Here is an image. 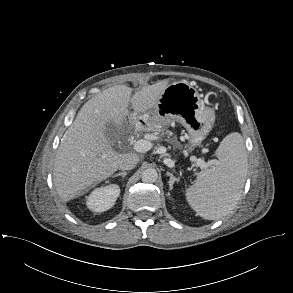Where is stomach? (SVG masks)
Wrapping results in <instances>:
<instances>
[{
	"label": "stomach",
	"mask_w": 293,
	"mask_h": 293,
	"mask_svg": "<svg viewBox=\"0 0 293 293\" xmlns=\"http://www.w3.org/2000/svg\"><path fill=\"white\" fill-rule=\"evenodd\" d=\"M157 128L173 122L181 123L189 133V149L202 143L215 122V112L205 106L197 89L186 81L169 84L153 110L140 118Z\"/></svg>",
	"instance_id": "obj_1"
}]
</instances>
